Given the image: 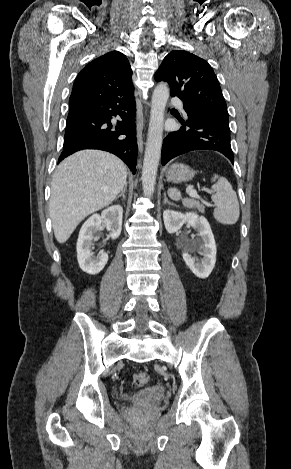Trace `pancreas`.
<instances>
[{
    "label": "pancreas",
    "mask_w": 291,
    "mask_h": 469,
    "mask_svg": "<svg viewBox=\"0 0 291 469\" xmlns=\"http://www.w3.org/2000/svg\"><path fill=\"white\" fill-rule=\"evenodd\" d=\"M182 204L190 209H198L200 212H204V205L201 204L199 201L193 198H185L182 200Z\"/></svg>",
    "instance_id": "cf45deb5"
}]
</instances>
